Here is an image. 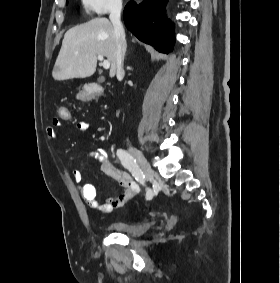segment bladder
Instances as JSON below:
<instances>
[{"label":"bladder","instance_id":"1","mask_svg":"<svg viewBox=\"0 0 280 283\" xmlns=\"http://www.w3.org/2000/svg\"><path fill=\"white\" fill-rule=\"evenodd\" d=\"M152 227L153 223L149 221L136 223L117 221L108 226V228L115 233L127 236H140L148 232Z\"/></svg>","mask_w":280,"mask_h":283}]
</instances>
